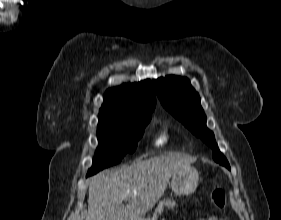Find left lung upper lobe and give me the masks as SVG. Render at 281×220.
Wrapping results in <instances>:
<instances>
[{
  "mask_svg": "<svg viewBox=\"0 0 281 220\" xmlns=\"http://www.w3.org/2000/svg\"><path fill=\"white\" fill-rule=\"evenodd\" d=\"M153 84L164 108L213 149L216 162L230 169L227 159L215 142L213 132L206 127V116L200 104V97L190 81L184 77L170 75L153 80Z\"/></svg>",
  "mask_w": 281,
  "mask_h": 220,
  "instance_id": "left-lung-upper-lobe-1",
  "label": "left lung upper lobe"
}]
</instances>
